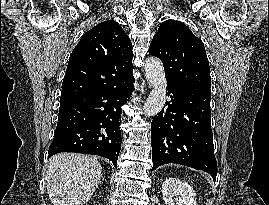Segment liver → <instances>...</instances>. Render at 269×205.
<instances>
[{
  "mask_svg": "<svg viewBox=\"0 0 269 205\" xmlns=\"http://www.w3.org/2000/svg\"><path fill=\"white\" fill-rule=\"evenodd\" d=\"M102 177L99 161L76 153H60L50 158L46 186L53 205H84Z\"/></svg>",
  "mask_w": 269,
  "mask_h": 205,
  "instance_id": "obj_1",
  "label": "liver"
}]
</instances>
